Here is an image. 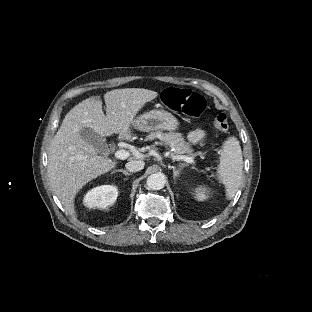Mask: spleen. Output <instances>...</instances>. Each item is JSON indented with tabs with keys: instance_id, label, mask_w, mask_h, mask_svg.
<instances>
[{
	"instance_id": "1",
	"label": "spleen",
	"mask_w": 312,
	"mask_h": 312,
	"mask_svg": "<svg viewBox=\"0 0 312 312\" xmlns=\"http://www.w3.org/2000/svg\"><path fill=\"white\" fill-rule=\"evenodd\" d=\"M243 158L239 141L231 137L220 151L218 178L226 187V197L231 199L237 192L242 178Z\"/></svg>"
}]
</instances>
